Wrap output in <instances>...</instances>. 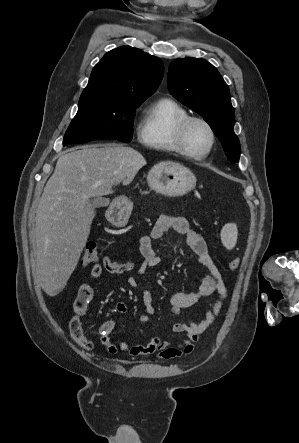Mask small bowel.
<instances>
[{"instance_id":"obj_1","label":"small bowel","mask_w":299,"mask_h":443,"mask_svg":"<svg viewBox=\"0 0 299 443\" xmlns=\"http://www.w3.org/2000/svg\"><path fill=\"white\" fill-rule=\"evenodd\" d=\"M183 235L189 252L186 254L180 250L181 255H188L195 258L206 270V276L194 292H178L170 298V307L174 314H179L183 309L189 308L197 303L201 298L217 294V299L210 305L205 313L198 320L191 323H175L172 327L176 334L185 333L186 336L181 341L169 342L159 337L152 338L147 344H128L123 341L114 342L111 335L115 328V322L111 319L103 321L99 326L100 342L111 354L124 353L132 357L140 358L158 353L160 358L169 359L189 354L198 340V336L212 325L218 316L223 301L227 296V289L222 278V274L214 263L206 241L195 230L189 227L187 220L183 217L160 215L150 233L144 235L139 240V251L143 257L142 263L136 266L132 261L119 262L112 260L109 256H104L101 263L92 266L89 273V280L95 281L103 271L112 274H122L135 270L134 274L128 278L131 287H137L141 275L149 268L158 265L162 256L155 248L153 242L160 239L168 231ZM94 297V290L90 283L82 284L74 302V316L69 322V331L72 339L85 351H92L94 342L86 337L82 326L81 318L86 313L90 301ZM142 300L148 314L154 313L152 294L149 290L142 291ZM127 305L124 302H117L115 310L118 313H126ZM149 315H143L139 321L142 325H147L150 321Z\"/></svg>"}]
</instances>
